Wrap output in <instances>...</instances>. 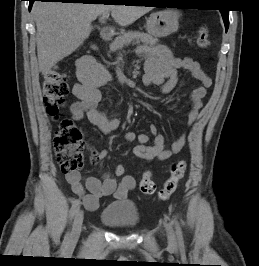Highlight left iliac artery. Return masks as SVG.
I'll list each match as a JSON object with an SVG mask.
<instances>
[{"instance_id":"1","label":"left iliac artery","mask_w":259,"mask_h":266,"mask_svg":"<svg viewBox=\"0 0 259 266\" xmlns=\"http://www.w3.org/2000/svg\"><path fill=\"white\" fill-rule=\"evenodd\" d=\"M175 227H176V233H177L178 240L181 242L182 241V230L177 221H175Z\"/></svg>"}]
</instances>
